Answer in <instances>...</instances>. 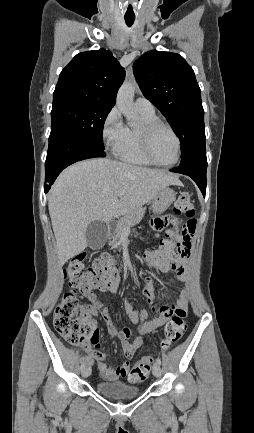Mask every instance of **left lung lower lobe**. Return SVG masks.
Masks as SVG:
<instances>
[{
    "mask_svg": "<svg viewBox=\"0 0 254 433\" xmlns=\"http://www.w3.org/2000/svg\"><path fill=\"white\" fill-rule=\"evenodd\" d=\"M206 170H207V164L190 163L186 165H180L177 168L172 169L171 171L176 173H181L191 177L196 182L203 196L205 197Z\"/></svg>",
    "mask_w": 254,
    "mask_h": 433,
    "instance_id": "left-lung-lower-lobe-1",
    "label": "left lung lower lobe"
}]
</instances>
